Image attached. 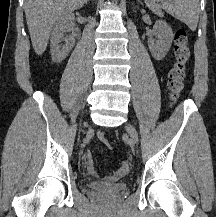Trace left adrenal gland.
Wrapping results in <instances>:
<instances>
[{"label": "left adrenal gland", "mask_w": 216, "mask_h": 217, "mask_svg": "<svg viewBox=\"0 0 216 217\" xmlns=\"http://www.w3.org/2000/svg\"><path fill=\"white\" fill-rule=\"evenodd\" d=\"M137 2H138L139 4H142L141 0H137Z\"/></svg>", "instance_id": "left-adrenal-gland-1"}]
</instances>
